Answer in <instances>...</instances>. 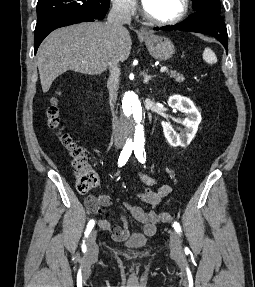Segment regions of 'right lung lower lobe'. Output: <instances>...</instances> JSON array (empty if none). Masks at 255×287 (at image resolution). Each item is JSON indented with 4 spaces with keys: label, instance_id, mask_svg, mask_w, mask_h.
<instances>
[{
    "label": "right lung lower lobe",
    "instance_id": "1",
    "mask_svg": "<svg viewBox=\"0 0 255 287\" xmlns=\"http://www.w3.org/2000/svg\"><path fill=\"white\" fill-rule=\"evenodd\" d=\"M96 19L84 13H66L37 22L34 36L35 53L43 39L53 30L80 22H92Z\"/></svg>",
    "mask_w": 255,
    "mask_h": 287
}]
</instances>
